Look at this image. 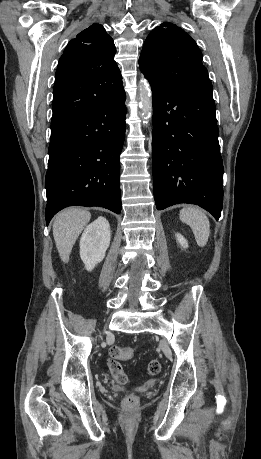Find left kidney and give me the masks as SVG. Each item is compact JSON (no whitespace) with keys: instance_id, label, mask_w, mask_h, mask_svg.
Masks as SVG:
<instances>
[{"instance_id":"1","label":"left kidney","mask_w":261,"mask_h":459,"mask_svg":"<svg viewBox=\"0 0 261 459\" xmlns=\"http://www.w3.org/2000/svg\"><path fill=\"white\" fill-rule=\"evenodd\" d=\"M176 240H177V242H178L183 248H187V247H188V242H187V240L183 237V235L177 233V234H176Z\"/></svg>"}]
</instances>
